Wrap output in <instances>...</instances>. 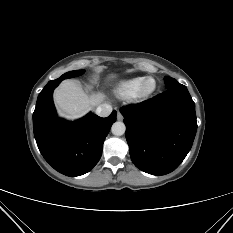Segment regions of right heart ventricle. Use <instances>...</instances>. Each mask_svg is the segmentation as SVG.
I'll use <instances>...</instances> for the list:
<instances>
[{
    "instance_id": "1",
    "label": "right heart ventricle",
    "mask_w": 233,
    "mask_h": 233,
    "mask_svg": "<svg viewBox=\"0 0 233 233\" xmlns=\"http://www.w3.org/2000/svg\"><path fill=\"white\" fill-rule=\"evenodd\" d=\"M145 77H134L122 81L116 88V94L123 99L135 97Z\"/></svg>"
}]
</instances>
